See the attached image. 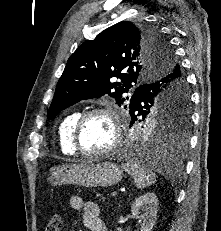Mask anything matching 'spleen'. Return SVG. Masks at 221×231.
<instances>
[{
	"mask_svg": "<svg viewBox=\"0 0 221 231\" xmlns=\"http://www.w3.org/2000/svg\"><path fill=\"white\" fill-rule=\"evenodd\" d=\"M121 167L134 179L138 189H144L156 182V174L135 161L123 163Z\"/></svg>",
	"mask_w": 221,
	"mask_h": 231,
	"instance_id": "spleen-1",
	"label": "spleen"
}]
</instances>
